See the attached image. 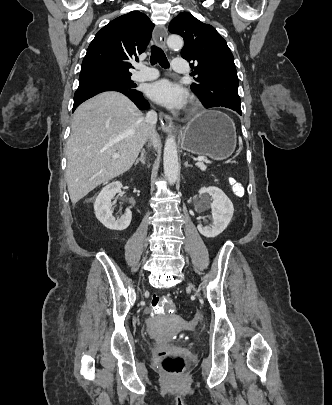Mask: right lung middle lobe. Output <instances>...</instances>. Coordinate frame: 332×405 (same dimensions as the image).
Instances as JSON below:
<instances>
[{"label":"right lung middle lobe","instance_id":"1","mask_svg":"<svg viewBox=\"0 0 332 405\" xmlns=\"http://www.w3.org/2000/svg\"><path fill=\"white\" fill-rule=\"evenodd\" d=\"M100 84H111L129 90H132L135 87V84H133V81L130 80L129 75L103 73L80 76L78 89Z\"/></svg>","mask_w":332,"mask_h":405}]
</instances>
